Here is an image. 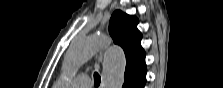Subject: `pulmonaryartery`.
<instances>
[{
	"instance_id": "obj_1",
	"label": "pulmonary artery",
	"mask_w": 223,
	"mask_h": 88,
	"mask_svg": "<svg viewBox=\"0 0 223 88\" xmlns=\"http://www.w3.org/2000/svg\"><path fill=\"white\" fill-rule=\"evenodd\" d=\"M73 84L78 88H88L92 85V81L87 74H79L73 80Z\"/></svg>"
}]
</instances>
